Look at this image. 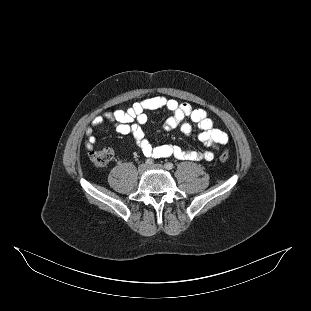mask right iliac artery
I'll return each mask as SVG.
<instances>
[{
    "instance_id": "82829eb1",
    "label": "right iliac artery",
    "mask_w": 311,
    "mask_h": 311,
    "mask_svg": "<svg viewBox=\"0 0 311 311\" xmlns=\"http://www.w3.org/2000/svg\"><path fill=\"white\" fill-rule=\"evenodd\" d=\"M146 164L147 165H152L153 164V160L152 159H147L146 160Z\"/></svg>"
}]
</instances>
